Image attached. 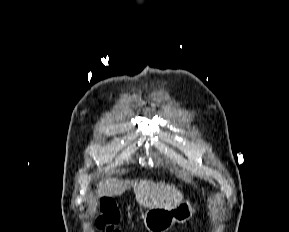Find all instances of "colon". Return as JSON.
<instances>
[{
  "label": "colon",
  "instance_id": "obj_1",
  "mask_svg": "<svg viewBox=\"0 0 289 232\" xmlns=\"http://www.w3.org/2000/svg\"><path fill=\"white\" fill-rule=\"evenodd\" d=\"M120 220V213L116 207L115 202L108 197L101 199L97 218L96 226L101 232H120L117 224Z\"/></svg>",
  "mask_w": 289,
  "mask_h": 232
}]
</instances>
